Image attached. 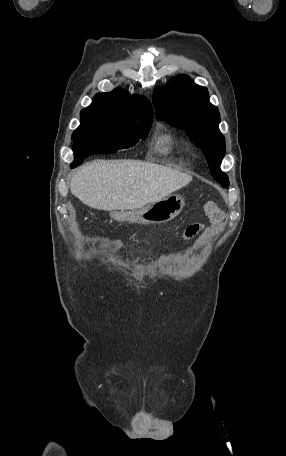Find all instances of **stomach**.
<instances>
[{
    "mask_svg": "<svg viewBox=\"0 0 286 456\" xmlns=\"http://www.w3.org/2000/svg\"><path fill=\"white\" fill-rule=\"evenodd\" d=\"M184 206L185 201L182 197L169 195L140 208L138 215L140 221L145 224H160L175 218Z\"/></svg>",
    "mask_w": 286,
    "mask_h": 456,
    "instance_id": "stomach-1",
    "label": "stomach"
}]
</instances>
